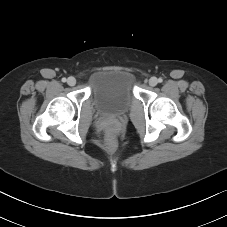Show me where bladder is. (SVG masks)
I'll list each match as a JSON object with an SVG mask.
<instances>
[{
	"instance_id": "1",
	"label": "bladder",
	"mask_w": 227,
	"mask_h": 227,
	"mask_svg": "<svg viewBox=\"0 0 227 227\" xmlns=\"http://www.w3.org/2000/svg\"><path fill=\"white\" fill-rule=\"evenodd\" d=\"M134 78L125 70H101L90 78V96L103 115L125 113L134 101Z\"/></svg>"
}]
</instances>
